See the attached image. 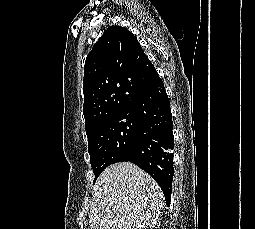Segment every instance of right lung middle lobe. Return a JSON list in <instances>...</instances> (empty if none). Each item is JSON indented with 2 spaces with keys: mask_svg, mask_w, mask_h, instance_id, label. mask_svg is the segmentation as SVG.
<instances>
[{
  "mask_svg": "<svg viewBox=\"0 0 255 229\" xmlns=\"http://www.w3.org/2000/svg\"><path fill=\"white\" fill-rule=\"evenodd\" d=\"M137 125V118L122 110L88 137L90 163L95 175L93 183L106 167L129 159Z\"/></svg>",
  "mask_w": 255,
  "mask_h": 229,
  "instance_id": "1",
  "label": "right lung middle lobe"
}]
</instances>
